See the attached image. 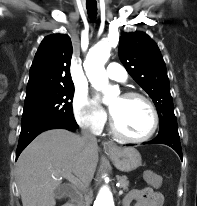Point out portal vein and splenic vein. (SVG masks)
Here are the masks:
<instances>
[{
    "mask_svg": "<svg viewBox=\"0 0 197 206\" xmlns=\"http://www.w3.org/2000/svg\"><path fill=\"white\" fill-rule=\"evenodd\" d=\"M65 177L74 185L79 186V182L76 178H74L73 176L70 175H65ZM123 194V190L119 191V195Z\"/></svg>",
    "mask_w": 197,
    "mask_h": 206,
    "instance_id": "18ae733b",
    "label": "portal vein and splenic vein"
}]
</instances>
